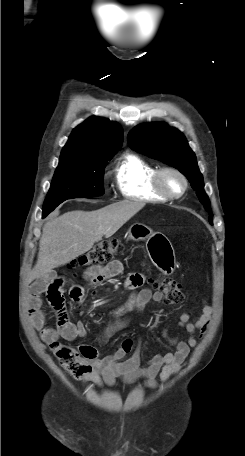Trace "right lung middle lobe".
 Segmentation results:
<instances>
[{
    "label": "right lung middle lobe",
    "mask_w": 245,
    "mask_h": 456,
    "mask_svg": "<svg viewBox=\"0 0 245 456\" xmlns=\"http://www.w3.org/2000/svg\"><path fill=\"white\" fill-rule=\"evenodd\" d=\"M108 159L59 163L44 202L43 215L67 199L103 195L102 179Z\"/></svg>",
    "instance_id": "right-lung-middle-lobe-1"
}]
</instances>
